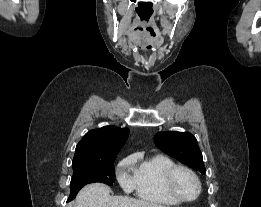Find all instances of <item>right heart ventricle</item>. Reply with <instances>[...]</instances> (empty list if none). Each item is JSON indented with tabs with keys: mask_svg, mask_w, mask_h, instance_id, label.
Masks as SVG:
<instances>
[{
	"mask_svg": "<svg viewBox=\"0 0 261 207\" xmlns=\"http://www.w3.org/2000/svg\"><path fill=\"white\" fill-rule=\"evenodd\" d=\"M134 166L135 191L139 199L173 206L179 204L166 190L164 177L175 162L162 154L150 156L134 155L131 157Z\"/></svg>",
	"mask_w": 261,
	"mask_h": 207,
	"instance_id": "right-heart-ventricle-1",
	"label": "right heart ventricle"
}]
</instances>
